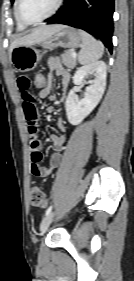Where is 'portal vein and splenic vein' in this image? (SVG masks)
Instances as JSON below:
<instances>
[{"label": "portal vein and splenic vein", "instance_id": "18ae733b", "mask_svg": "<svg viewBox=\"0 0 134 281\" xmlns=\"http://www.w3.org/2000/svg\"><path fill=\"white\" fill-rule=\"evenodd\" d=\"M71 55H72L73 58H76V57H77V54H76L75 52H72Z\"/></svg>", "mask_w": 134, "mask_h": 281}]
</instances>
